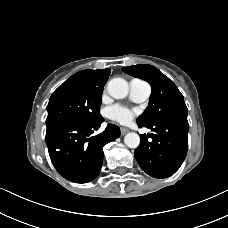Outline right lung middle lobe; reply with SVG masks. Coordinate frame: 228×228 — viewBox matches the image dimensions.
I'll return each mask as SVG.
<instances>
[{
	"instance_id": "right-lung-middle-lobe-1",
	"label": "right lung middle lobe",
	"mask_w": 228,
	"mask_h": 228,
	"mask_svg": "<svg viewBox=\"0 0 228 228\" xmlns=\"http://www.w3.org/2000/svg\"><path fill=\"white\" fill-rule=\"evenodd\" d=\"M103 89H89L69 79L51 95L47 105V129L64 122H92L100 118Z\"/></svg>"
}]
</instances>
